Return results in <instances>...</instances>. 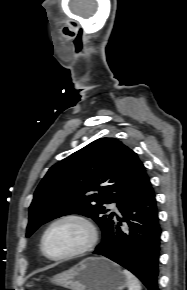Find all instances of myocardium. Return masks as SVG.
Segmentation results:
<instances>
[{
	"instance_id": "1",
	"label": "myocardium",
	"mask_w": 187,
	"mask_h": 290,
	"mask_svg": "<svg viewBox=\"0 0 187 290\" xmlns=\"http://www.w3.org/2000/svg\"><path fill=\"white\" fill-rule=\"evenodd\" d=\"M69 221L79 223L80 225L84 227L88 236L86 243L79 249L72 251L70 253H67L61 256L50 255L46 248V240H47L48 234L56 225L63 222H69ZM97 241H98V230L95 224L93 223V221L84 214L69 213V214H65L60 217H57L47 226L41 238V250L43 254L52 261H64V260L72 259V258L88 253L95 247Z\"/></svg>"
}]
</instances>
